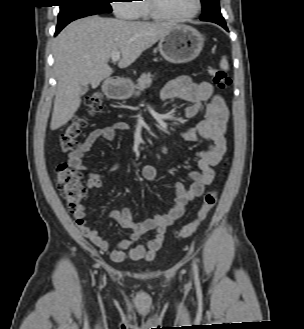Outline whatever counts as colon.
<instances>
[{
	"label": "colon",
	"instance_id": "1",
	"mask_svg": "<svg viewBox=\"0 0 304 329\" xmlns=\"http://www.w3.org/2000/svg\"><path fill=\"white\" fill-rule=\"evenodd\" d=\"M208 73L212 81L220 89H227L231 85L228 74L220 68L209 67ZM86 108L89 116H96L102 110V97L92 94L86 99ZM86 117H76L63 131L59 138V147L63 152H73L78 146V137L81 130L86 127ZM56 185L62 192L63 198L69 211L76 212L81 205V200L86 194V188L82 183L80 172L66 163L58 164L56 168ZM219 192L211 190L204 195L203 203L194 220L182 226L176 233L177 238H187L193 235L202 223L207 219L210 211L215 207Z\"/></svg>",
	"mask_w": 304,
	"mask_h": 329
}]
</instances>
